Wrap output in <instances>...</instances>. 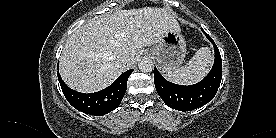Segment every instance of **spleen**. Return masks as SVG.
<instances>
[{
  "mask_svg": "<svg viewBox=\"0 0 276 138\" xmlns=\"http://www.w3.org/2000/svg\"><path fill=\"white\" fill-rule=\"evenodd\" d=\"M211 63L210 49L202 47L185 66L166 72L165 77L176 84L191 85L200 81L208 73Z\"/></svg>",
  "mask_w": 276,
  "mask_h": 138,
  "instance_id": "3e777b00",
  "label": "spleen"
}]
</instances>
